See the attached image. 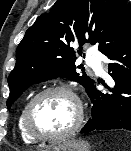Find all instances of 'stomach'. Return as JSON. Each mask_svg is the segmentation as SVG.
Returning a JSON list of instances; mask_svg holds the SVG:
<instances>
[{
	"instance_id": "1",
	"label": "stomach",
	"mask_w": 131,
	"mask_h": 151,
	"mask_svg": "<svg viewBox=\"0 0 131 151\" xmlns=\"http://www.w3.org/2000/svg\"><path fill=\"white\" fill-rule=\"evenodd\" d=\"M44 151H90V144L82 139H69L50 146Z\"/></svg>"
}]
</instances>
